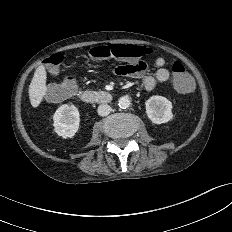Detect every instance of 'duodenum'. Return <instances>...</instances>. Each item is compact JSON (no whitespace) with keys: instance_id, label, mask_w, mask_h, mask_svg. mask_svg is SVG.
<instances>
[{"instance_id":"410a0bca","label":"duodenum","mask_w":232,"mask_h":232,"mask_svg":"<svg viewBox=\"0 0 232 232\" xmlns=\"http://www.w3.org/2000/svg\"><path fill=\"white\" fill-rule=\"evenodd\" d=\"M81 100L87 104L99 103L107 104L112 101V95L106 91L86 90L80 95Z\"/></svg>"}]
</instances>
